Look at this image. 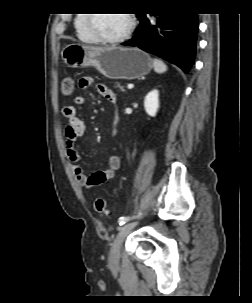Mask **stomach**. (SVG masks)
<instances>
[{
	"mask_svg": "<svg viewBox=\"0 0 252 303\" xmlns=\"http://www.w3.org/2000/svg\"><path fill=\"white\" fill-rule=\"evenodd\" d=\"M61 56L69 67L93 66L109 79L133 80L152 68L149 56L138 48L71 43L63 48Z\"/></svg>",
	"mask_w": 252,
	"mask_h": 303,
	"instance_id": "obj_1",
	"label": "stomach"
}]
</instances>
